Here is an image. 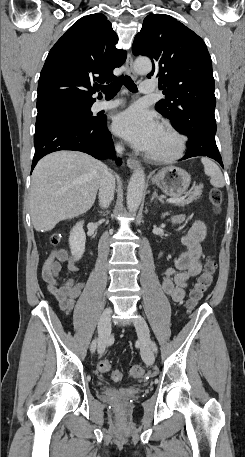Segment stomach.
I'll return each instance as SVG.
<instances>
[{"instance_id":"0dacf381","label":"stomach","mask_w":245,"mask_h":457,"mask_svg":"<svg viewBox=\"0 0 245 457\" xmlns=\"http://www.w3.org/2000/svg\"><path fill=\"white\" fill-rule=\"evenodd\" d=\"M169 196L184 194L191 182V174L179 166H164L151 178Z\"/></svg>"}]
</instances>
